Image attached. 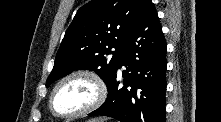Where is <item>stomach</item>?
<instances>
[{
    "label": "stomach",
    "instance_id": "obj_1",
    "mask_svg": "<svg viewBox=\"0 0 221 122\" xmlns=\"http://www.w3.org/2000/svg\"><path fill=\"white\" fill-rule=\"evenodd\" d=\"M107 119L106 118H94L91 120H88L87 122H106Z\"/></svg>",
    "mask_w": 221,
    "mask_h": 122
}]
</instances>
